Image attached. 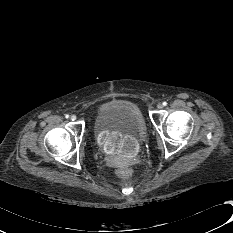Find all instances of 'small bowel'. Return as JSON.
<instances>
[{"instance_id":"1","label":"small bowel","mask_w":233,"mask_h":233,"mask_svg":"<svg viewBox=\"0 0 233 233\" xmlns=\"http://www.w3.org/2000/svg\"><path fill=\"white\" fill-rule=\"evenodd\" d=\"M98 145L103 150H110L111 156L121 162L131 160L136 154V143L122 133H103L98 138Z\"/></svg>"}]
</instances>
